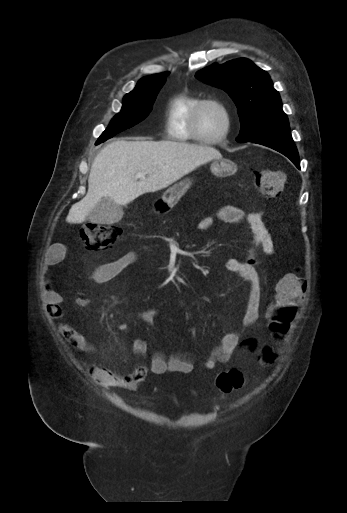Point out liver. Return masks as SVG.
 Here are the masks:
<instances>
[{
  "instance_id": "1",
  "label": "liver",
  "mask_w": 347,
  "mask_h": 513,
  "mask_svg": "<svg viewBox=\"0 0 347 513\" xmlns=\"http://www.w3.org/2000/svg\"><path fill=\"white\" fill-rule=\"evenodd\" d=\"M221 154L213 147L174 141H126L107 144L96 156L86 196L72 205L66 217L71 224L86 220L101 198L126 205L137 197L166 188L196 167ZM145 173L137 181L135 175Z\"/></svg>"
}]
</instances>
